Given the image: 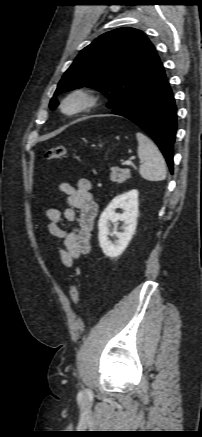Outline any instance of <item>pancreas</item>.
<instances>
[{
    "instance_id": "1",
    "label": "pancreas",
    "mask_w": 202,
    "mask_h": 437,
    "mask_svg": "<svg viewBox=\"0 0 202 437\" xmlns=\"http://www.w3.org/2000/svg\"><path fill=\"white\" fill-rule=\"evenodd\" d=\"M131 177L129 169L111 168L110 180L112 182L123 183Z\"/></svg>"
}]
</instances>
